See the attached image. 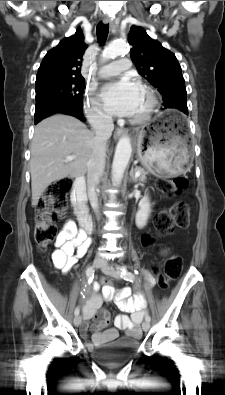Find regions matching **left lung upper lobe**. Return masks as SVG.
I'll return each mask as SVG.
<instances>
[{
  "label": "left lung upper lobe",
  "instance_id": "left-lung-upper-lobe-1",
  "mask_svg": "<svg viewBox=\"0 0 225 395\" xmlns=\"http://www.w3.org/2000/svg\"><path fill=\"white\" fill-rule=\"evenodd\" d=\"M128 42L133 46L131 59L163 97V106L175 108L188 115L185 80L175 55L157 40L148 36L142 27H131Z\"/></svg>",
  "mask_w": 225,
  "mask_h": 395
}]
</instances>
